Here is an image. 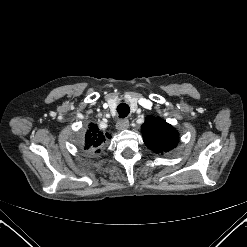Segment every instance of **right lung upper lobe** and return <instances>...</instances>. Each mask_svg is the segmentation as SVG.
<instances>
[{
  "label": "right lung upper lobe",
  "mask_w": 247,
  "mask_h": 247,
  "mask_svg": "<svg viewBox=\"0 0 247 247\" xmlns=\"http://www.w3.org/2000/svg\"><path fill=\"white\" fill-rule=\"evenodd\" d=\"M111 136L108 133H104L97 124L90 123L87 127L85 139L82 144L84 150L92 153L100 152V149L104 146L107 138Z\"/></svg>",
  "instance_id": "1"
}]
</instances>
